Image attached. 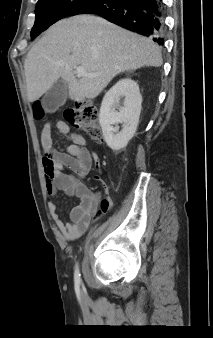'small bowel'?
<instances>
[{
  "instance_id": "1",
  "label": "small bowel",
  "mask_w": 213,
  "mask_h": 338,
  "mask_svg": "<svg viewBox=\"0 0 213 338\" xmlns=\"http://www.w3.org/2000/svg\"><path fill=\"white\" fill-rule=\"evenodd\" d=\"M57 133L69 140L70 144L65 153L54 148L52 124L46 123L41 132V143L43 148L42 165L44 183L49 197H55L59 191H63L70 197H75L78 204L72 209L70 221H64L57 213V205L49 204V211L56 227L68 240L79 238L89 224L98 220L97 207L101 201V195L97 191L89 189L80 178L85 177L91 170L93 163L98 166V158L86 148L85 138L79 133H72L68 125L63 121L55 124ZM49 163L53 164L55 170L62 171L64 168L72 170L75 175L62 172L51 176L48 172Z\"/></svg>"
}]
</instances>
